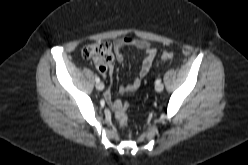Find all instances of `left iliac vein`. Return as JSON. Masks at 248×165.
I'll return each mask as SVG.
<instances>
[{"label":"left iliac vein","instance_id":"left-iliac-vein-1","mask_svg":"<svg viewBox=\"0 0 248 165\" xmlns=\"http://www.w3.org/2000/svg\"><path fill=\"white\" fill-rule=\"evenodd\" d=\"M164 89V85L162 83L156 84L155 85V90L157 92H161Z\"/></svg>","mask_w":248,"mask_h":165}]
</instances>
